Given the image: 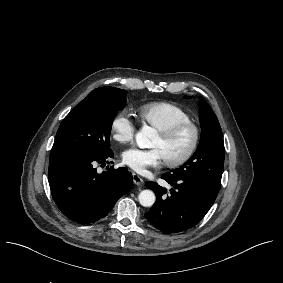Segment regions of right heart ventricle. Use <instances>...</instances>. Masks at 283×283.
Instances as JSON below:
<instances>
[{"label": "right heart ventricle", "instance_id": "1", "mask_svg": "<svg viewBox=\"0 0 283 283\" xmlns=\"http://www.w3.org/2000/svg\"><path fill=\"white\" fill-rule=\"evenodd\" d=\"M135 113L145 125L163 132L179 121L191 120V116L180 107L169 102H150L136 108Z\"/></svg>", "mask_w": 283, "mask_h": 283}]
</instances>
